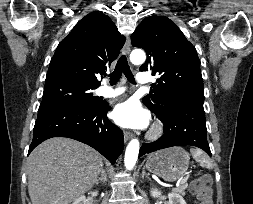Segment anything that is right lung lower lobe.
Returning a JSON list of instances; mask_svg holds the SVG:
<instances>
[{
  "instance_id": "obj_1",
  "label": "right lung lower lobe",
  "mask_w": 253,
  "mask_h": 204,
  "mask_svg": "<svg viewBox=\"0 0 253 204\" xmlns=\"http://www.w3.org/2000/svg\"><path fill=\"white\" fill-rule=\"evenodd\" d=\"M110 108L107 103L94 108L69 104L40 106L28 154L44 140L60 136L93 147L114 164L123 150L124 138L123 132L107 118Z\"/></svg>"
}]
</instances>
